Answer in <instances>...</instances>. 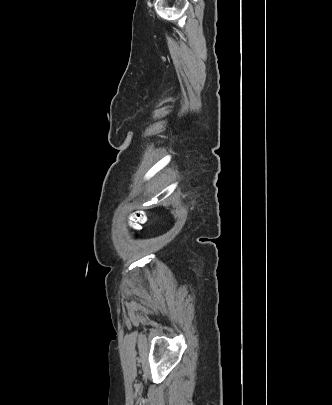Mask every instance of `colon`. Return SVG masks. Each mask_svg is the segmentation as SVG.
Returning a JSON list of instances; mask_svg holds the SVG:
<instances>
[{
	"label": "colon",
	"instance_id": "obj_1",
	"mask_svg": "<svg viewBox=\"0 0 332 405\" xmlns=\"http://www.w3.org/2000/svg\"><path fill=\"white\" fill-rule=\"evenodd\" d=\"M146 220L145 215L143 214H137L133 219L131 224L134 226V228H139L141 224H143Z\"/></svg>",
	"mask_w": 332,
	"mask_h": 405
}]
</instances>
